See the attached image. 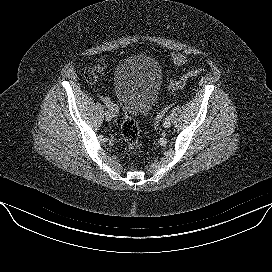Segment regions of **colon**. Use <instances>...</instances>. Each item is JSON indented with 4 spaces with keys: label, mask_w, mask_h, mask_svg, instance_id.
<instances>
[{
    "label": "colon",
    "mask_w": 272,
    "mask_h": 272,
    "mask_svg": "<svg viewBox=\"0 0 272 272\" xmlns=\"http://www.w3.org/2000/svg\"><path fill=\"white\" fill-rule=\"evenodd\" d=\"M106 68V62L100 61L97 66L86 70L84 76L87 81L95 82L103 74ZM202 69H193L186 72L181 77L172 80L168 85V90L173 92L177 89L183 88L187 82L199 74H201ZM121 134L123 140L126 144L127 149L130 153L137 155L141 153L143 149V144L140 139V133L137 123L128 115L124 117L121 125Z\"/></svg>",
    "instance_id": "5ec220e1"
}]
</instances>
